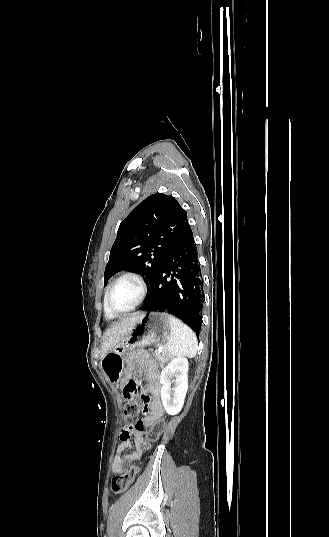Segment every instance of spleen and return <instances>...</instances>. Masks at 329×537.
Listing matches in <instances>:
<instances>
[{
  "mask_svg": "<svg viewBox=\"0 0 329 537\" xmlns=\"http://www.w3.org/2000/svg\"><path fill=\"white\" fill-rule=\"evenodd\" d=\"M171 333L166 349L173 356L193 358L197 353L198 342L195 333L178 318L170 316Z\"/></svg>",
  "mask_w": 329,
  "mask_h": 537,
  "instance_id": "3e777b00",
  "label": "spleen"
}]
</instances>
